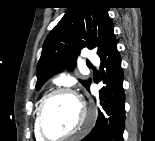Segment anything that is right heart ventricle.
Returning a JSON list of instances; mask_svg holds the SVG:
<instances>
[{"label":"right heart ventricle","mask_w":155,"mask_h":141,"mask_svg":"<svg viewBox=\"0 0 155 141\" xmlns=\"http://www.w3.org/2000/svg\"><path fill=\"white\" fill-rule=\"evenodd\" d=\"M34 132H35V137L37 140H42V138L40 137V135L38 134L37 132V129H36V122L34 121Z\"/></svg>","instance_id":"1"}]
</instances>
